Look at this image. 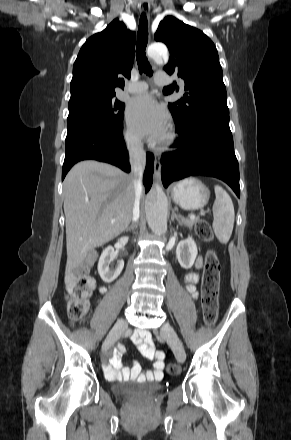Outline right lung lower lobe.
<instances>
[{
  "instance_id": "1",
  "label": "right lung lower lobe",
  "mask_w": 291,
  "mask_h": 440,
  "mask_svg": "<svg viewBox=\"0 0 291 440\" xmlns=\"http://www.w3.org/2000/svg\"><path fill=\"white\" fill-rule=\"evenodd\" d=\"M122 123L123 121L116 126L109 127L90 122L69 123L65 140L62 180L75 163L87 159L107 162L129 172V156L122 135ZM153 161L154 156L147 153L143 180L146 192L153 181Z\"/></svg>"
}]
</instances>
